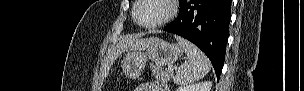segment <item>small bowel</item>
Segmentation results:
<instances>
[{
    "label": "small bowel",
    "mask_w": 304,
    "mask_h": 91,
    "mask_svg": "<svg viewBox=\"0 0 304 91\" xmlns=\"http://www.w3.org/2000/svg\"><path fill=\"white\" fill-rule=\"evenodd\" d=\"M137 90L138 91H167L168 88L162 82L151 81L141 85Z\"/></svg>",
    "instance_id": "obj_1"
}]
</instances>
